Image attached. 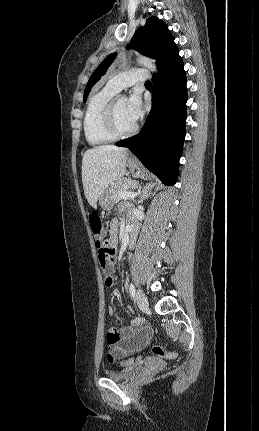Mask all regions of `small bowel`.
Instances as JSON below:
<instances>
[{"mask_svg": "<svg viewBox=\"0 0 259 431\" xmlns=\"http://www.w3.org/2000/svg\"><path fill=\"white\" fill-rule=\"evenodd\" d=\"M118 236V224L113 221L110 226V237L108 242L115 248L117 245ZM115 260V258H114ZM113 264L110 269L107 266H103L100 269L103 278L105 279L104 285L107 288L113 286L114 276L112 275ZM109 314L112 318H115L113 309L109 308ZM108 332H115L118 335V340L110 344L112 346V353L109 354V361H113L115 358L123 356L127 353L138 352L146 348L149 344L151 330L142 318L132 319L129 325L124 327H112Z\"/></svg>", "mask_w": 259, "mask_h": 431, "instance_id": "1", "label": "small bowel"}]
</instances>
